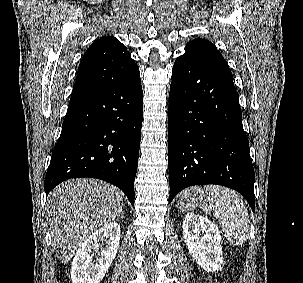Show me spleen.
<instances>
[{"label":"spleen","mask_w":303,"mask_h":283,"mask_svg":"<svg viewBox=\"0 0 303 283\" xmlns=\"http://www.w3.org/2000/svg\"><path fill=\"white\" fill-rule=\"evenodd\" d=\"M209 206L202 207L203 212L209 214L214 211L227 240L242 246L249 235V214L244 201L234 191L216 185L205 186Z\"/></svg>","instance_id":"spleen-1"}]
</instances>
